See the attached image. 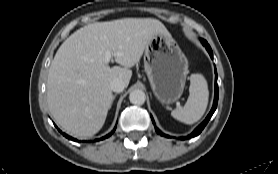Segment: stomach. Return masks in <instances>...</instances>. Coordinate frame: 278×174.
Listing matches in <instances>:
<instances>
[{"instance_id": "stomach-1", "label": "stomach", "mask_w": 278, "mask_h": 174, "mask_svg": "<svg viewBox=\"0 0 278 174\" xmlns=\"http://www.w3.org/2000/svg\"><path fill=\"white\" fill-rule=\"evenodd\" d=\"M144 68L155 97L163 104L176 102L182 95L188 60L173 37L157 33L144 50Z\"/></svg>"}]
</instances>
